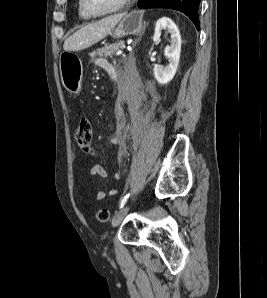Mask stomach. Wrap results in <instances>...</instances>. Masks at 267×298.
Listing matches in <instances>:
<instances>
[{"instance_id": "stomach-1", "label": "stomach", "mask_w": 267, "mask_h": 298, "mask_svg": "<svg viewBox=\"0 0 267 298\" xmlns=\"http://www.w3.org/2000/svg\"><path fill=\"white\" fill-rule=\"evenodd\" d=\"M144 11H132L123 16L119 24L112 29L113 38L142 34L145 29L143 23ZM60 75L62 84L67 91L79 94L82 86L83 69L79 58L71 52L60 55Z\"/></svg>"}]
</instances>
